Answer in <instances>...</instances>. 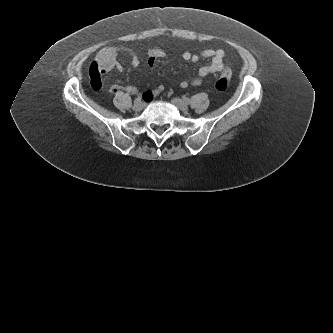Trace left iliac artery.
I'll use <instances>...</instances> for the list:
<instances>
[{"instance_id": "1", "label": "left iliac artery", "mask_w": 333, "mask_h": 333, "mask_svg": "<svg viewBox=\"0 0 333 333\" xmlns=\"http://www.w3.org/2000/svg\"><path fill=\"white\" fill-rule=\"evenodd\" d=\"M185 100H186L187 102H189V99H188V98H185Z\"/></svg>"}]
</instances>
